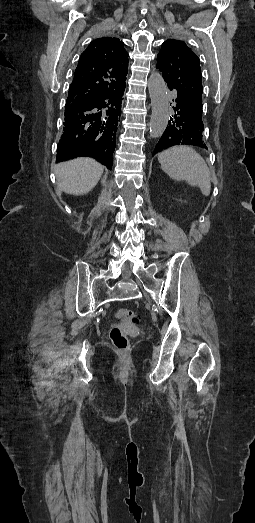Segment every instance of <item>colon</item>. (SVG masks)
<instances>
[{
    "label": "colon",
    "instance_id": "1",
    "mask_svg": "<svg viewBox=\"0 0 255 523\" xmlns=\"http://www.w3.org/2000/svg\"><path fill=\"white\" fill-rule=\"evenodd\" d=\"M116 318L122 323L136 324L139 322V317L130 309L121 308L116 312ZM110 338L113 345L122 352H125L129 348V339L125 331L119 327H113L110 331Z\"/></svg>",
    "mask_w": 255,
    "mask_h": 523
}]
</instances>
